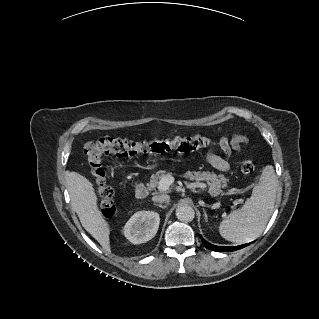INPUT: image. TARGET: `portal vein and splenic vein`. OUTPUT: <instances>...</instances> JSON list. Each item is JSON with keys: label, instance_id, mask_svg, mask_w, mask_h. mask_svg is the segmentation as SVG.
Masks as SVG:
<instances>
[{"label": "portal vein and splenic vein", "instance_id": "portal-vein-and-splenic-vein-1", "mask_svg": "<svg viewBox=\"0 0 319 319\" xmlns=\"http://www.w3.org/2000/svg\"><path fill=\"white\" fill-rule=\"evenodd\" d=\"M174 182V177L170 174L165 175L159 182L157 185V189L160 192L166 191L170 185Z\"/></svg>", "mask_w": 319, "mask_h": 319}]
</instances>
